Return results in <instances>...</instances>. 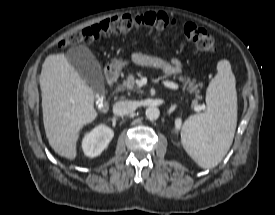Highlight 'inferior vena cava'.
Segmentation results:
<instances>
[{"label":"inferior vena cava","instance_id":"602c4592","mask_svg":"<svg viewBox=\"0 0 275 215\" xmlns=\"http://www.w3.org/2000/svg\"><path fill=\"white\" fill-rule=\"evenodd\" d=\"M135 110L134 103L132 101H119L113 106V113L116 116H125L132 113Z\"/></svg>","mask_w":275,"mask_h":215}]
</instances>
